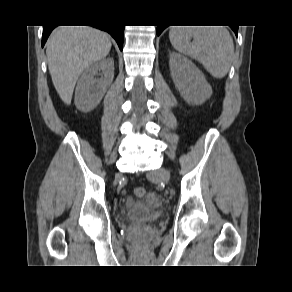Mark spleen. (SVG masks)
<instances>
[{
  "label": "spleen",
  "instance_id": "spleen-1",
  "mask_svg": "<svg viewBox=\"0 0 292 292\" xmlns=\"http://www.w3.org/2000/svg\"><path fill=\"white\" fill-rule=\"evenodd\" d=\"M169 39L176 51L200 62L214 78L229 72L234 43L226 28L173 26Z\"/></svg>",
  "mask_w": 292,
  "mask_h": 292
}]
</instances>
